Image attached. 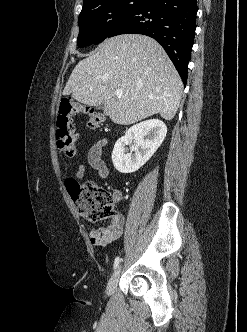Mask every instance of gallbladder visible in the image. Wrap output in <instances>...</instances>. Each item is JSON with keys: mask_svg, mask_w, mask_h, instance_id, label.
Returning <instances> with one entry per match:
<instances>
[{"mask_svg": "<svg viewBox=\"0 0 247 332\" xmlns=\"http://www.w3.org/2000/svg\"><path fill=\"white\" fill-rule=\"evenodd\" d=\"M103 107H104V103H103V102H101V103L97 106L98 109H103Z\"/></svg>", "mask_w": 247, "mask_h": 332, "instance_id": "obj_1", "label": "gallbladder"}]
</instances>
